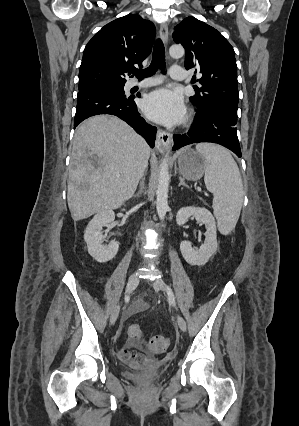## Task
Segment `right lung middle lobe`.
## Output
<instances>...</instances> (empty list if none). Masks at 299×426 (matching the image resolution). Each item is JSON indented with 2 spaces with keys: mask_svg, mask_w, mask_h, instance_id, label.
<instances>
[{
  "mask_svg": "<svg viewBox=\"0 0 299 426\" xmlns=\"http://www.w3.org/2000/svg\"><path fill=\"white\" fill-rule=\"evenodd\" d=\"M83 88H97V89H105V90H111L120 94L124 95V84H120V85H96V86H88V87H79L80 89Z\"/></svg>",
  "mask_w": 299,
  "mask_h": 426,
  "instance_id": "obj_1",
  "label": "right lung middle lobe"
}]
</instances>
